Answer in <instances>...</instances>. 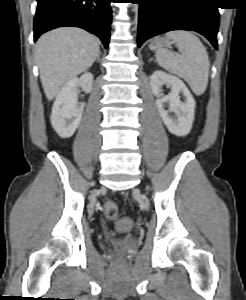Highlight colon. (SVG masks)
Here are the masks:
<instances>
[{
  "label": "colon",
  "mask_w": 246,
  "mask_h": 300,
  "mask_svg": "<svg viewBox=\"0 0 246 300\" xmlns=\"http://www.w3.org/2000/svg\"><path fill=\"white\" fill-rule=\"evenodd\" d=\"M105 216L113 220L119 231L126 232L131 229L133 222L129 218H120L118 205L114 200H107L104 204Z\"/></svg>",
  "instance_id": "obj_1"
}]
</instances>
